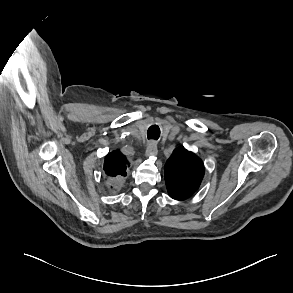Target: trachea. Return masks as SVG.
<instances>
[{
	"instance_id": "1",
	"label": "trachea",
	"mask_w": 293,
	"mask_h": 293,
	"mask_svg": "<svg viewBox=\"0 0 293 293\" xmlns=\"http://www.w3.org/2000/svg\"><path fill=\"white\" fill-rule=\"evenodd\" d=\"M160 136V129L157 125H152L149 127L147 131L148 139H155L157 140Z\"/></svg>"
}]
</instances>
